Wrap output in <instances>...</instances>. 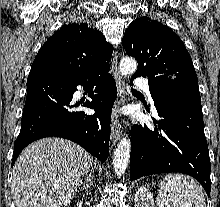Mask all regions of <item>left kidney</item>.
<instances>
[{
  "mask_svg": "<svg viewBox=\"0 0 220 207\" xmlns=\"http://www.w3.org/2000/svg\"><path fill=\"white\" fill-rule=\"evenodd\" d=\"M135 207H152L154 200L148 188L141 186L135 194Z\"/></svg>",
  "mask_w": 220,
  "mask_h": 207,
  "instance_id": "1",
  "label": "left kidney"
}]
</instances>
